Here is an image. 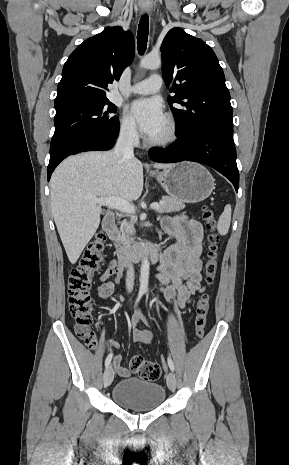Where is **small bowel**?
Segmentation results:
<instances>
[{
	"mask_svg": "<svg viewBox=\"0 0 289 465\" xmlns=\"http://www.w3.org/2000/svg\"><path fill=\"white\" fill-rule=\"evenodd\" d=\"M162 227L177 241L160 255L157 278L164 298L184 307L193 295L204 291L200 260L203 229L199 222L184 216L166 218L162 221ZM122 277L121 267L115 260H111L99 277L101 284L97 288L98 296L102 299L111 297ZM140 322L149 323L141 312H137L131 321L133 340L136 343L148 344L153 339V332L140 328ZM114 345L111 343V347ZM110 354L117 373L122 377H128L130 370L122 365V356L113 352Z\"/></svg>",
	"mask_w": 289,
	"mask_h": 465,
	"instance_id": "small-bowel-1",
	"label": "small bowel"
}]
</instances>
